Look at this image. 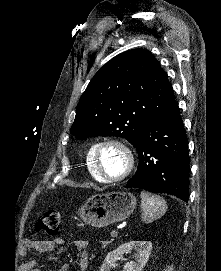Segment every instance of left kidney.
Returning a JSON list of instances; mask_svg holds the SVG:
<instances>
[{"label":"left kidney","mask_w":221,"mask_h":271,"mask_svg":"<svg viewBox=\"0 0 221 271\" xmlns=\"http://www.w3.org/2000/svg\"><path fill=\"white\" fill-rule=\"evenodd\" d=\"M131 249H135L133 253L135 261H126L123 271H142L151 253L152 241H128V243H121L116 249L107 253L100 271H111V267H115L117 259L123 257V253H130Z\"/></svg>","instance_id":"1"}]
</instances>
